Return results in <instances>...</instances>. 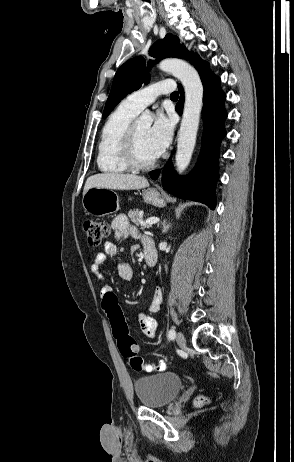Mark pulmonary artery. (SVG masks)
<instances>
[{"label":"pulmonary artery","instance_id":"e3ab8cb5","mask_svg":"<svg viewBox=\"0 0 294 462\" xmlns=\"http://www.w3.org/2000/svg\"><path fill=\"white\" fill-rule=\"evenodd\" d=\"M175 90L171 79L160 80L129 94L122 105L135 113H139L145 107L153 103L162 94H169Z\"/></svg>","mask_w":294,"mask_h":462}]
</instances>
